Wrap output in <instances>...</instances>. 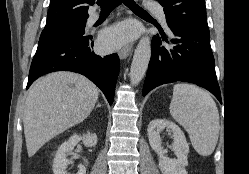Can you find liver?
<instances>
[{"label":"liver","instance_id":"obj_1","mask_svg":"<svg viewBox=\"0 0 249 174\" xmlns=\"http://www.w3.org/2000/svg\"><path fill=\"white\" fill-rule=\"evenodd\" d=\"M99 89L83 75L60 71L39 79L29 90L23 124L27 153L84 121L93 110Z\"/></svg>","mask_w":249,"mask_h":174}]
</instances>
